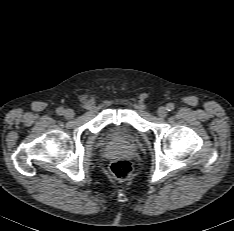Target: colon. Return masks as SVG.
I'll list each match as a JSON object with an SVG mask.
<instances>
[{"mask_svg": "<svg viewBox=\"0 0 234 231\" xmlns=\"http://www.w3.org/2000/svg\"><path fill=\"white\" fill-rule=\"evenodd\" d=\"M113 171L119 179L125 180L131 172V167L126 161H118L113 165Z\"/></svg>", "mask_w": 234, "mask_h": 231, "instance_id": "colon-1", "label": "colon"}]
</instances>
